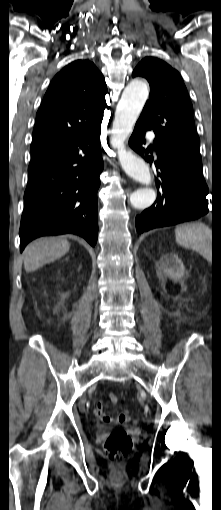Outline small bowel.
Listing matches in <instances>:
<instances>
[{"instance_id":"1","label":"small bowel","mask_w":221,"mask_h":510,"mask_svg":"<svg viewBox=\"0 0 221 510\" xmlns=\"http://www.w3.org/2000/svg\"><path fill=\"white\" fill-rule=\"evenodd\" d=\"M111 395H113V394H110L109 396H111ZM94 414L96 417L100 418L104 422H111L114 420L112 417L107 415L103 401L96 404V406L94 408Z\"/></svg>"}]
</instances>
